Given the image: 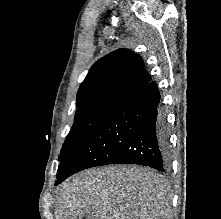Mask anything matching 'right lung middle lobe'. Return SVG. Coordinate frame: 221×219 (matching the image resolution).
I'll use <instances>...</instances> for the list:
<instances>
[{"mask_svg":"<svg viewBox=\"0 0 221 219\" xmlns=\"http://www.w3.org/2000/svg\"><path fill=\"white\" fill-rule=\"evenodd\" d=\"M120 102L115 99H102L78 105L74 124L62 146L59 161L62 162L72 150L87 139Z\"/></svg>","mask_w":221,"mask_h":219,"instance_id":"obj_1","label":"right lung middle lobe"}]
</instances>
